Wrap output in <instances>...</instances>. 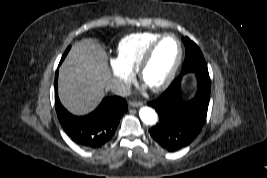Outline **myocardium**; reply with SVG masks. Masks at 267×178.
Segmentation results:
<instances>
[{
    "label": "myocardium",
    "instance_id": "f54148a6",
    "mask_svg": "<svg viewBox=\"0 0 267 178\" xmlns=\"http://www.w3.org/2000/svg\"><path fill=\"white\" fill-rule=\"evenodd\" d=\"M167 37H171V38L176 40V42L178 44V56L176 58V61L173 65V67L171 68L169 74L167 75V77L160 84H158L156 86L149 87L154 92H159V91L166 89L172 83V81L174 80V78L178 72V69H179L181 62H182V59H183V45H182V42L180 41V39L172 33H166V34L161 35L159 38H157L155 41H153L149 45V47L147 48V50L143 54V56L139 62L138 68H137L138 77L143 82L144 71H145L147 65L149 64L156 48Z\"/></svg>",
    "mask_w": 267,
    "mask_h": 178
}]
</instances>
